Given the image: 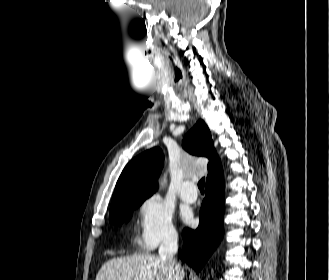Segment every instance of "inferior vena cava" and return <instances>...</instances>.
Segmentation results:
<instances>
[{
	"label": "inferior vena cava",
	"instance_id": "obj_1",
	"mask_svg": "<svg viewBox=\"0 0 329 280\" xmlns=\"http://www.w3.org/2000/svg\"><path fill=\"white\" fill-rule=\"evenodd\" d=\"M178 251V234L176 231H169L163 238L159 247V256L171 270L176 273V280H181V265L174 259V255Z\"/></svg>",
	"mask_w": 329,
	"mask_h": 280
}]
</instances>
